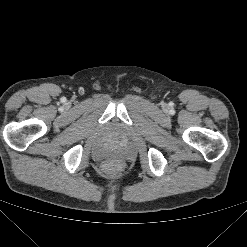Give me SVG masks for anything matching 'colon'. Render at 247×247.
I'll use <instances>...</instances> for the list:
<instances>
[{
	"label": "colon",
	"mask_w": 247,
	"mask_h": 247,
	"mask_svg": "<svg viewBox=\"0 0 247 247\" xmlns=\"http://www.w3.org/2000/svg\"><path fill=\"white\" fill-rule=\"evenodd\" d=\"M104 168L109 172H115L119 170L120 164L117 161H108L104 164Z\"/></svg>",
	"instance_id": "colon-1"
}]
</instances>
